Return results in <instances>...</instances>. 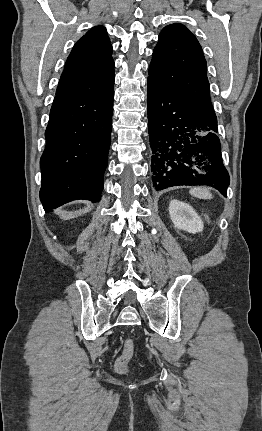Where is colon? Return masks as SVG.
I'll use <instances>...</instances> for the list:
<instances>
[{
	"instance_id": "5ec220e1",
	"label": "colon",
	"mask_w": 262,
	"mask_h": 431,
	"mask_svg": "<svg viewBox=\"0 0 262 431\" xmlns=\"http://www.w3.org/2000/svg\"><path fill=\"white\" fill-rule=\"evenodd\" d=\"M135 342L132 338H127L124 342L123 350L115 361V370L119 374H125L128 371V365L134 354Z\"/></svg>"
}]
</instances>
